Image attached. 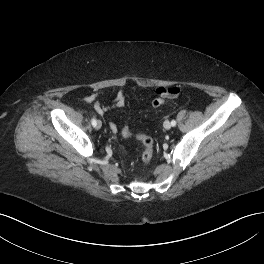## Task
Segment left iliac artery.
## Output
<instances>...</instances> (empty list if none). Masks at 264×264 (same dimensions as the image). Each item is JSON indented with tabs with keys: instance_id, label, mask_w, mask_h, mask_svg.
<instances>
[{
	"instance_id": "left-iliac-artery-1",
	"label": "left iliac artery",
	"mask_w": 264,
	"mask_h": 264,
	"mask_svg": "<svg viewBox=\"0 0 264 264\" xmlns=\"http://www.w3.org/2000/svg\"><path fill=\"white\" fill-rule=\"evenodd\" d=\"M171 125H172V126H175V125H176V121H175V120H172V121H171Z\"/></svg>"
}]
</instances>
